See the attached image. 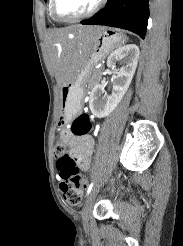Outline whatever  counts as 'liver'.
I'll list each match as a JSON object with an SVG mask.
<instances>
[{
  "mask_svg": "<svg viewBox=\"0 0 183 246\" xmlns=\"http://www.w3.org/2000/svg\"><path fill=\"white\" fill-rule=\"evenodd\" d=\"M102 27L70 26L52 30L47 35L50 61L60 84L71 81L84 61L86 47L90 45ZM71 41H68L70 34Z\"/></svg>",
  "mask_w": 183,
  "mask_h": 246,
  "instance_id": "6515ba94",
  "label": "liver"
}]
</instances>
